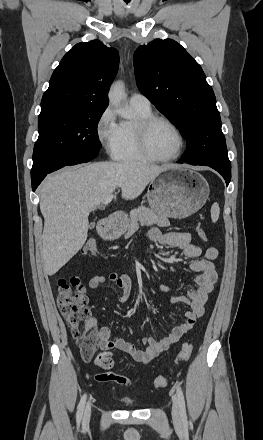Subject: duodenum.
Returning a JSON list of instances; mask_svg holds the SVG:
<instances>
[{
	"label": "duodenum",
	"instance_id": "410a0bca",
	"mask_svg": "<svg viewBox=\"0 0 263 440\" xmlns=\"http://www.w3.org/2000/svg\"><path fill=\"white\" fill-rule=\"evenodd\" d=\"M110 221L109 220H104L101 225L99 226V232L102 235L103 238H106V229L107 227L110 225Z\"/></svg>",
	"mask_w": 263,
	"mask_h": 440
}]
</instances>
